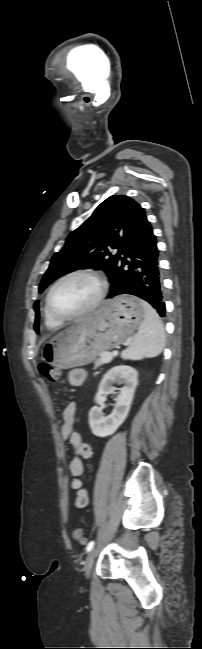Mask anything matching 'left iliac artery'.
Returning a JSON list of instances; mask_svg holds the SVG:
<instances>
[{"instance_id": "1", "label": "left iliac artery", "mask_w": 202, "mask_h": 649, "mask_svg": "<svg viewBox=\"0 0 202 649\" xmlns=\"http://www.w3.org/2000/svg\"><path fill=\"white\" fill-rule=\"evenodd\" d=\"M94 547V541H90L88 545L86 546V551L89 552L93 549Z\"/></svg>"}]
</instances>
